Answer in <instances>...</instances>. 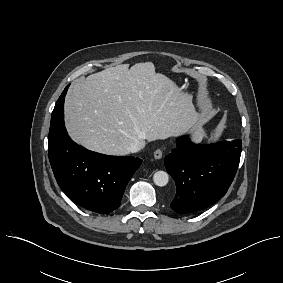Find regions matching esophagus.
<instances>
[{"label":"esophagus","instance_id":"esophagus-1","mask_svg":"<svg viewBox=\"0 0 283 283\" xmlns=\"http://www.w3.org/2000/svg\"><path fill=\"white\" fill-rule=\"evenodd\" d=\"M162 156H163L162 150L157 149V150L154 152V157H155V159H161Z\"/></svg>","mask_w":283,"mask_h":283}]
</instances>
